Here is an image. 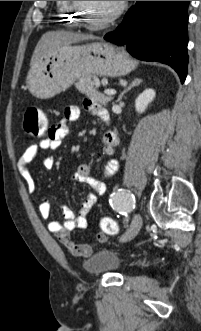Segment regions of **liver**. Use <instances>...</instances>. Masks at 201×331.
<instances>
[{"mask_svg": "<svg viewBox=\"0 0 201 331\" xmlns=\"http://www.w3.org/2000/svg\"><path fill=\"white\" fill-rule=\"evenodd\" d=\"M97 37L89 34H78L69 31H50L42 35L33 52L31 67L42 57L49 55L63 45H69L84 40H94Z\"/></svg>", "mask_w": 201, "mask_h": 331, "instance_id": "obj_1", "label": "liver"}]
</instances>
